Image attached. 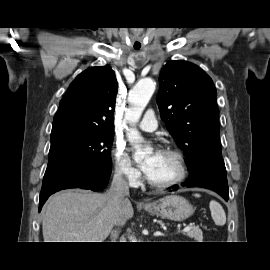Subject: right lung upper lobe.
Instances as JSON below:
<instances>
[{"label":"right lung upper lobe","instance_id":"obj_1","mask_svg":"<svg viewBox=\"0 0 270 270\" xmlns=\"http://www.w3.org/2000/svg\"><path fill=\"white\" fill-rule=\"evenodd\" d=\"M118 85L110 66L89 68L70 84L54 116L52 129L80 127L113 130Z\"/></svg>","mask_w":270,"mask_h":270}]
</instances>
